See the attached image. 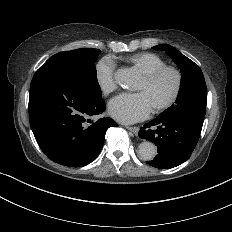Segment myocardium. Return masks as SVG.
<instances>
[{
	"label": "myocardium",
	"mask_w": 232,
	"mask_h": 232,
	"mask_svg": "<svg viewBox=\"0 0 232 232\" xmlns=\"http://www.w3.org/2000/svg\"><path fill=\"white\" fill-rule=\"evenodd\" d=\"M172 72L176 77V85L175 89L171 95V97L163 104H161L157 109L156 112H162L170 108L177 100L180 95L182 84H183V77L181 72L174 66L165 65L162 66L150 73L144 75L143 79L147 84L154 83L163 73L165 72Z\"/></svg>",
	"instance_id": "obj_1"
}]
</instances>
